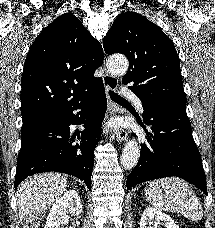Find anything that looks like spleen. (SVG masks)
Returning <instances> with one entry per match:
<instances>
[{"label":"spleen","mask_w":215,"mask_h":228,"mask_svg":"<svg viewBox=\"0 0 215 228\" xmlns=\"http://www.w3.org/2000/svg\"><path fill=\"white\" fill-rule=\"evenodd\" d=\"M150 206L164 212H177L191 222L203 218L201 204L187 182L180 178L153 180L145 190Z\"/></svg>","instance_id":"3e777b00"}]
</instances>
